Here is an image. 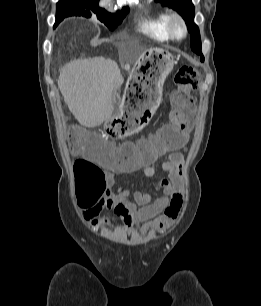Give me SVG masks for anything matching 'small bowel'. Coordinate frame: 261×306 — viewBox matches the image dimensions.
<instances>
[{"mask_svg": "<svg viewBox=\"0 0 261 306\" xmlns=\"http://www.w3.org/2000/svg\"><path fill=\"white\" fill-rule=\"evenodd\" d=\"M161 167L167 176L160 178L155 184V191L163 193L157 198L144 191L131 194L121 187L115 189V176L120 173L141 171L144 176L153 177L155 169L151 162L111 168L106 173L107 189L104 197L95 206L84 211L83 217L94 227H100L107 223L105 218L98 217L100 212L104 209H113L121 219L122 229L129 234H147L150 231L165 229L176 221L182 207L184 157L179 152L169 153L164 156ZM136 223L143 225L137 229Z\"/></svg>", "mask_w": 261, "mask_h": 306, "instance_id": "c3829d8e", "label": "small bowel"}]
</instances>
